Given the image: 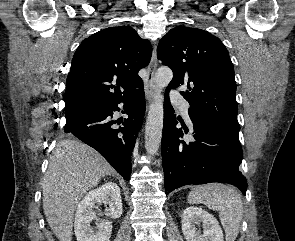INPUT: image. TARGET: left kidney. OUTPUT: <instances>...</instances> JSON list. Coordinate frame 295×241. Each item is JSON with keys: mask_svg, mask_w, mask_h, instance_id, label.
Returning a JSON list of instances; mask_svg holds the SVG:
<instances>
[{"mask_svg": "<svg viewBox=\"0 0 295 241\" xmlns=\"http://www.w3.org/2000/svg\"><path fill=\"white\" fill-rule=\"evenodd\" d=\"M202 223L203 232L196 225ZM182 232L187 241H224L217 219L196 206H189L182 214Z\"/></svg>", "mask_w": 295, "mask_h": 241, "instance_id": "obj_1", "label": "left kidney"}]
</instances>
